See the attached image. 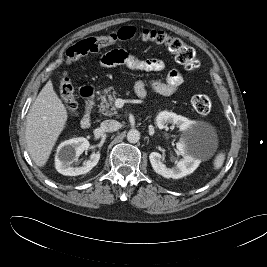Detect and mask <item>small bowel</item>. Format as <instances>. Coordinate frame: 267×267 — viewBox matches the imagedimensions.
Here are the masks:
<instances>
[{"instance_id":"obj_1","label":"small bowel","mask_w":267,"mask_h":267,"mask_svg":"<svg viewBox=\"0 0 267 267\" xmlns=\"http://www.w3.org/2000/svg\"><path fill=\"white\" fill-rule=\"evenodd\" d=\"M100 66L110 68L115 66H124L130 70H141L147 72H160L165 69V63L157 58L140 59L139 57L124 50L115 49L104 54L100 59ZM184 83V78L178 70L167 72L164 80L151 79L138 80L135 83L134 90L138 97L146 96V87L148 85L158 94L170 96L177 92Z\"/></svg>"}]
</instances>
